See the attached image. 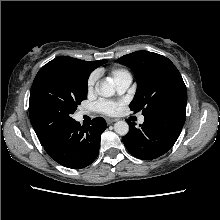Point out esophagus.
Here are the masks:
<instances>
[{
    "mask_svg": "<svg viewBox=\"0 0 220 220\" xmlns=\"http://www.w3.org/2000/svg\"><path fill=\"white\" fill-rule=\"evenodd\" d=\"M116 121H117V119H106V122H107L108 125H110V124H112Z\"/></svg>",
    "mask_w": 220,
    "mask_h": 220,
    "instance_id": "esophagus-1",
    "label": "esophagus"
}]
</instances>
